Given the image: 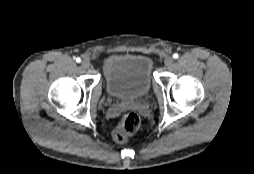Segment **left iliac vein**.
Masks as SVG:
<instances>
[{"mask_svg": "<svg viewBox=\"0 0 254 174\" xmlns=\"http://www.w3.org/2000/svg\"><path fill=\"white\" fill-rule=\"evenodd\" d=\"M173 62H174V59H173V57H171V56H167V57L165 58V60H164V63H165V65H166L167 67H170V66L173 64Z\"/></svg>", "mask_w": 254, "mask_h": 174, "instance_id": "1", "label": "left iliac vein"}]
</instances>
